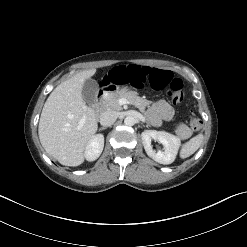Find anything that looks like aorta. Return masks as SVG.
Returning a JSON list of instances; mask_svg holds the SVG:
<instances>
[{
    "label": "aorta",
    "instance_id": "1",
    "mask_svg": "<svg viewBox=\"0 0 247 247\" xmlns=\"http://www.w3.org/2000/svg\"><path fill=\"white\" fill-rule=\"evenodd\" d=\"M124 123L127 126H133L135 124V118L131 115H128L125 117Z\"/></svg>",
    "mask_w": 247,
    "mask_h": 247
}]
</instances>
